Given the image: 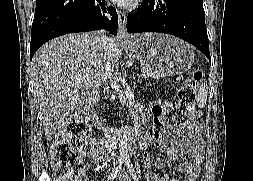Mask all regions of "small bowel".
Wrapping results in <instances>:
<instances>
[{"label":"small bowel","instance_id":"obj_1","mask_svg":"<svg viewBox=\"0 0 253 181\" xmlns=\"http://www.w3.org/2000/svg\"><path fill=\"white\" fill-rule=\"evenodd\" d=\"M172 108L173 103L169 101L158 103L152 107L154 122L143 140L142 159L144 164L149 166L151 159L156 157L155 166L161 173L159 176L153 177L154 181H197L204 156L200 130L196 129L193 133L182 136L176 129L168 127L165 115ZM162 128L165 129L164 132L161 131ZM105 150V141L92 140L88 158L94 163L99 162ZM159 152H163L173 164V173H181L184 176L181 178L172 177L165 169ZM187 158L190 159V162L186 161Z\"/></svg>","mask_w":253,"mask_h":181}]
</instances>
